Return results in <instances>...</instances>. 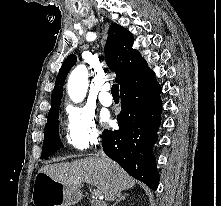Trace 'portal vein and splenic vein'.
Wrapping results in <instances>:
<instances>
[{
  "mask_svg": "<svg viewBox=\"0 0 221 206\" xmlns=\"http://www.w3.org/2000/svg\"><path fill=\"white\" fill-rule=\"evenodd\" d=\"M92 195H93V198H96V199L97 198H99V199L103 198L102 193L99 190L93 191Z\"/></svg>",
  "mask_w": 221,
  "mask_h": 206,
  "instance_id": "obj_1",
  "label": "portal vein and splenic vein"
}]
</instances>
